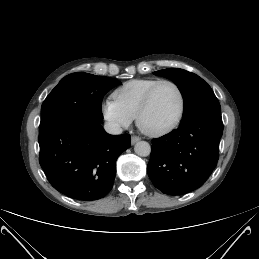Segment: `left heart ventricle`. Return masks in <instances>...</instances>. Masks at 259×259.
I'll return each mask as SVG.
<instances>
[{
  "label": "left heart ventricle",
  "mask_w": 259,
  "mask_h": 259,
  "mask_svg": "<svg viewBox=\"0 0 259 259\" xmlns=\"http://www.w3.org/2000/svg\"><path fill=\"white\" fill-rule=\"evenodd\" d=\"M179 107L176 89L170 84H162L154 93L151 105L143 117V125L149 130L161 129L176 118Z\"/></svg>",
  "instance_id": "left-heart-ventricle-1"
}]
</instances>
